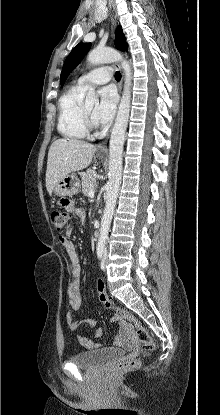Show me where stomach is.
I'll list each match as a JSON object with an SVG mask.
<instances>
[{
	"label": "stomach",
	"instance_id": "1",
	"mask_svg": "<svg viewBox=\"0 0 220 415\" xmlns=\"http://www.w3.org/2000/svg\"><path fill=\"white\" fill-rule=\"evenodd\" d=\"M80 180L75 174L67 175L54 187V194L60 197L73 196L80 192Z\"/></svg>",
	"mask_w": 220,
	"mask_h": 415
}]
</instances>
